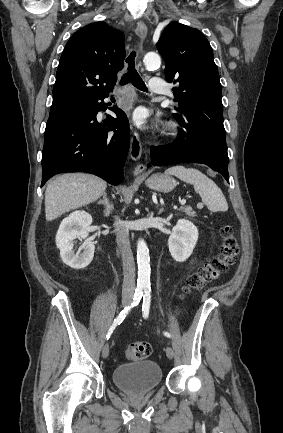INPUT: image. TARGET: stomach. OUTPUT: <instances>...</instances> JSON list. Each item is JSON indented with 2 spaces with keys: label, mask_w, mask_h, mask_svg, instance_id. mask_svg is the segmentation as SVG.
<instances>
[{
  "label": "stomach",
  "mask_w": 283,
  "mask_h": 433,
  "mask_svg": "<svg viewBox=\"0 0 283 433\" xmlns=\"http://www.w3.org/2000/svg\"><path fill=\"white\" fill-rule=\"evenodd\" d=\"M147 186L153 188V190H160V192H170L174 186H176V180L173 176H168V174H152L146 180Z\"/></svg>",
  "instance_id": "stomach-1"
}]
</instances>
